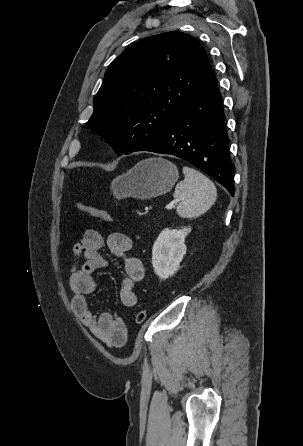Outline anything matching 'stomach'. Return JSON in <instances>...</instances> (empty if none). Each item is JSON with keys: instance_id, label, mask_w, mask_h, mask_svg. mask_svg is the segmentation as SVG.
<instances>
[{"instance_id": "0dacf381", "label": "stomach", "mask_w": 303, "mask_h": 446, "mask_svg": "<svg viewBox=\"0 0 303 446\" xmlns=\"http://www.w3.org/2000/svg\"><path fill=\"white\" fill-rule=\"evenodd\" d=\"M178 178L176 165L162 158H149L116 177L111 190L117 199H150L169 192Z\"/></svg>"}]
</instances>
